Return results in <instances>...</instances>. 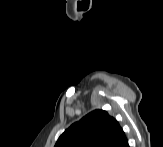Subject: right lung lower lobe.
I'll return each instance as SVG.
<instances>
[{
  "instance_id": "right-lung-lower-lobe-1",
  "label": "right lung lower lobe",
  "mask_w": 163,
  "mask_h": 147,
  "mask_svg": "<svg viewBox=\"0 0 163 147\" xmlns=\"http://www.w3.org/2000/svg\"><path fill=\"white\" fill-rule=\"evenodd\" d=\"M114 147H129L126 136L119 140Z\"/></svg>"
}]
</instances>
